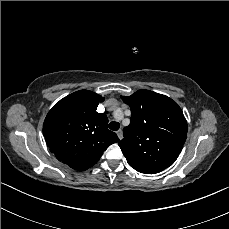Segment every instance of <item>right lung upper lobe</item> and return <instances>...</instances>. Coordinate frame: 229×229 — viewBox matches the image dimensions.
Returning <instances> with one entry per match:
<instances>
[{
    "label": "right lung upper lobe",
    "mask_w": 229,
    "mask_h": 229,
    "mask_svg": "<svg viewBox=\"0 0 229 229\" xmlns=\"http://www.w3.org/2000/svg\"><path fill=\"white\" fill-rule=\"evenodd\" d=\"M103 101L94 92L80 90L61 99L45 118L43 135L50 151L75 170L92 167L111 144L119 141L107 128V116L96 112Z\"/></svg>",
    "instance_id": "right-lung-upper-lobe-1"
}]
</instances>
